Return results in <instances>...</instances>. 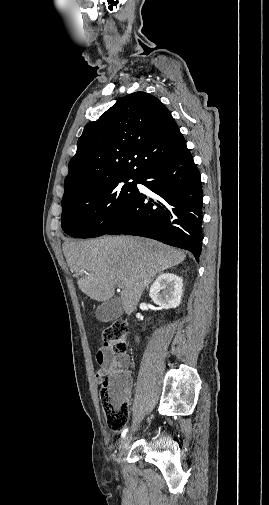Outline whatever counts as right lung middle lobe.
I'll list each match as a JSON object with an SVG mask.
<instances>
[{"instance_id":"dd1d6c3e","label":"right lung middle lobe","mask_w":269,"mask_h":505,"mask_svg":"<svg viewBox=\"0 0 269 505\" xmlns=\"http://www.w3.org/2000/svg\"><path fill=\"white\" fill-rule=\"evenodd\" d=\"M126 178L85 189L62 201V229L70 236L106 234L123 217L138 194V179Z\"/></svg>"}]
</instances>
